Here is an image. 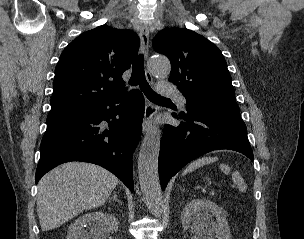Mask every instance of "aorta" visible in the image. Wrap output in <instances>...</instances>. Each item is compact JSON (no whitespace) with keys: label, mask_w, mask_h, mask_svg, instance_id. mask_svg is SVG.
Instances as JSON below:
<instances>
[{"label":"aorta","mask_w":304,"mask_h":239,"mask_svg":"<svg viewBox=\"0 0 304 239\" xmlns=\"http://www.w3.org/2000/svg\"><path fill=\"white\" fill-rule=\"evenodd\" d=\"M151 73L156 77H167L171 71L169 60L164 56H154L149 60ZM161 131L154 126L149 130L140 147L138 157V175L141 191L146 205L156 216L163 211L162 193L158 176V157Z\"/></svg>","instance_id":"obj_1"}]
</instances>
